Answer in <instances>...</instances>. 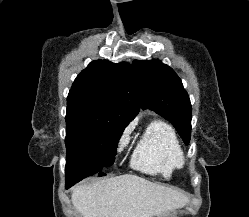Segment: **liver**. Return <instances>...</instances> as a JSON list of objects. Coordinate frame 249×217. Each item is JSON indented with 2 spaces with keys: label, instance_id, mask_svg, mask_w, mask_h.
<instances>
[{
  "label": "liver",
  "instance_id": "obj_1",
  "mask_svg": "<svg viewBox=\"0 0 249 217\" xmlns=\"http://www.w3.org/2000/svg\"><path fill=\"white\" fill-rule=\"evenodd\" d=\"M71 201L82 217H161L188 198L177 190L132 174L74 188Z\"/></svg>",
  "mask_w": 249,
  "mask_h": 217
}]
</instances>
